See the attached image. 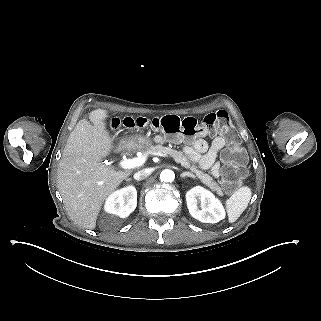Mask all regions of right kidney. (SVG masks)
<instances>
[{
  "label": "right kidney",
  "instance_id": "1",
  "mask_svg": "<svg viewBox=\"0 0 321 321\" xmlns=\"http://www.w3.org/2000/svg\"><path fill=\"white\" fill-rule=\"evenodd\" d=\"M137 206V191L127 186L112 193L106 200L104 210L109 214H122L128 217Z\"/></svg>",
  "mask_w": 321,
  "mask_h": 321
}]
</instances>
